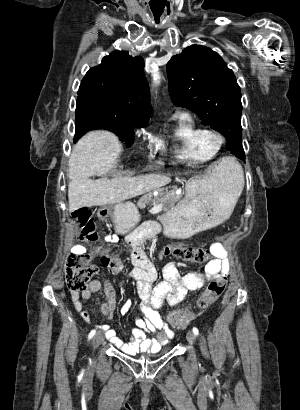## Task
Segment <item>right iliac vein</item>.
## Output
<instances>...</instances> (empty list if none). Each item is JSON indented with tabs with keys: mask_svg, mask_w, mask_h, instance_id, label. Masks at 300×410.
Here are the masks:
<instances>
[{
	"mask_svg": "<svg viewBox=\"0 0 300 410\" xmlns=\"http://www.w3.org/2000/svg\"><path fill=\"white\" fill-rule=\"evenodd\" d=\"M103 341V334L101 332H98L94 337H93V349L95 350Z\"/></svg>",
	"mask_w": 300,
	"mask_h": 410,
	"instance_id": "obj_1",
	"label": "right iliac vein"
}]
</instances>
